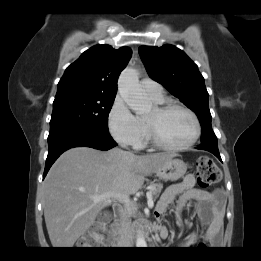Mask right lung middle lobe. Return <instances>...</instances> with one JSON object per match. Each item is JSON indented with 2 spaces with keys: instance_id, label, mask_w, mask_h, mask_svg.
I'll return each mask as SVG.
<instances>
[{
  "instance_id": "dd1d6c3e",
  "label": "right lung middle lobe",
  "mask_w": 261,
  "mask_h": 261,
  "mask_svg": "<svg viewBox=\"0 0 261 261\" xmlns=\"http://www.w3.org/2000/svg\"><path fill=\"white\" fill-rule=\"evenodd\" d=\"M115 96L57 94L50 131L87 126L108 132V115Z\"/></svg>"
}]
</instances>
